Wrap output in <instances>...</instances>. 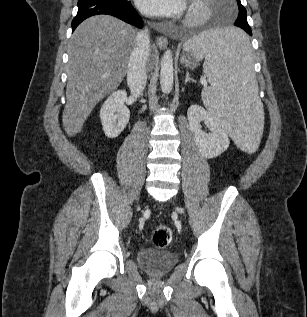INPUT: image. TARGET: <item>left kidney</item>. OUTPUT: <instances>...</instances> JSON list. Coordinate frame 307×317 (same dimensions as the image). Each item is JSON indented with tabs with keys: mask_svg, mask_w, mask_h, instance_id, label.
I'll list each match as a JSON object with an SVG mask.
<instances>
[{
	"mask_svg": "<svg viewBox=\"0 0 307 317\" xmlns=\"http://www.w3.org/2000/svg\"><path fill=\"white\" fill-rule=\"evenodd\" d=\"M187 116L195 144L206 158L217 157L229 147V138L224 128L203 107L191 105ZM201 122L207 125L210 133L201 129Z\"/></svg>",
	"mask_w": 307,
	"mask_h": 317,
	"instance_id": "5707ae66",
	"label": "left kidney"
}]
</instances>
